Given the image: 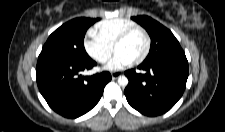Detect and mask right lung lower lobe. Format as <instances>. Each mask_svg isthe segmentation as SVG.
I'll use <instances>...</instances> for the list:
<instances>
[{"label":"right lung lower lobe","mask_w":225,"mask_h":132,"mask_svg":"<svg viewBox=\"0 0 225 132\" xmlns=\"http://www.w3.org/2000/svg\"><path fill=\"white\" fill-rule=\"evenodd\" d=\"M95 65L91 58L79 61L39 55L36 75L40 93L48 105L64 117L77 118L85 114L98 103L111 80L109 72L86 77L80 74Z\"/></svg>","instance_id":"right-lung-lower-lobe-1"}]
</instances>
